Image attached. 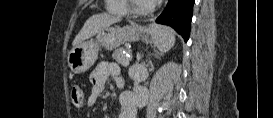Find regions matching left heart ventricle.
Returning <instances> with one entry per match:
<instances>
[{
	"label": "left heart ventricle",
	"mask_w": 273,
	"mask_h": 118,
	"mask_svg": "<svg viewBox=\"0 0 273 118\" xmlns=\"http://www.w3.org/2000/svg\"><path fill=\"white\" fill-rule=\"evenodd\" d=\"M147 5H149L147 1H143V0L135 1L136 8L142 9V8H145Z\"/></svg>",
	"instance_id": "1"
}]
</instances>
